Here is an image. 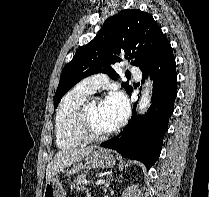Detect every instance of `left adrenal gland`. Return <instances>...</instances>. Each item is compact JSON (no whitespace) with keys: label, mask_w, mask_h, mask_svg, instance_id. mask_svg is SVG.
<instances>
[{"label":"left adrenal gland","mask_w":209,"mask_h":197,"mask_svg":"<svg viewBox=\"0 0 209 197\" xmlns=\"http://www.w3.org/2000/svg\"><path fill=\"white\" fill-rule=\"evenodd\" d=\"M111 176L112 175H110L108 178H107V180H106V183H105V186H104V191H106L107 190V188L109 187V185H110V179H111Z\"/></svg>","instance_id":"a2214340"}]
</instances>
